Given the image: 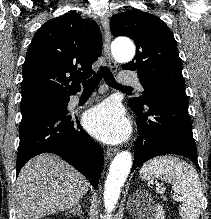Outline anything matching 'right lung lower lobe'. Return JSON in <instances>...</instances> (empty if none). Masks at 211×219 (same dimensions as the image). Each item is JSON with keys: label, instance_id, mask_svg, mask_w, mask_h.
Masks as SVG:
<instances>
[{"label": "right lung lower lobe", "instance_id": "right-lung-lower-lobe-1", "mask_svg": "<svg viewBox=\"0 0 211 219\" xmlns=\"http://www.w3.org/2000/svg\"><path fill=\"white\" fill-rule=\"evenodd\" d=\"M67 104L22 118L17 174L29 159L49 152L59 155L97 188L103 168V149L84 131L77 116L68 113Z\"/></svg>", "mask_w": 211, "mask_h": 219}]
</instances>
